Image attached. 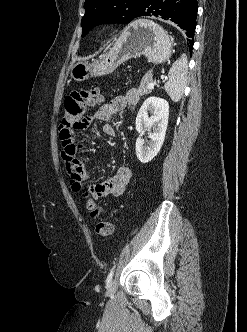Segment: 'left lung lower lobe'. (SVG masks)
<instances>
[{
	"instance_id": "left-lung-lower-lobe-1",
	"label": "left lung lower lobe",
	"mask_w": 247,
	"mask_h": 332,
	"mask_svg": "<svg viewBox=\"0 0 247 332\" xmlns=\"http://www.w3.org/2000/svg\"><path fill=\"white\" fill-rule=\"evenodd\" d=\"M197 0H146L137 17L155 16L176 23L185 30L187 44L192 51L196 28Z\"/></svg>"
}]
</instances>
